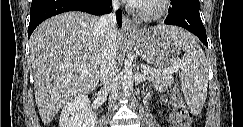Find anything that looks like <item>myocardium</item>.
I'll return each instance as SVG.
<instances>
[{
    "instance_id": "f54148a6",
    "label": "myocardium",
    "mask_w": 243,
    "mask_h": 127,
    "mask_svg": "<svg viewBox=\"0 0 243 127\" xmlns=\"http://www.w3.org/2000/svg\"><path fill=\"white\" fill-rule=\"evenodd\" d=\"M156 6L152 9L146 8V1L136 6V15L144 21H153L161 18L168 10V0H153Z\"/></svg>"
}]
</instances>
